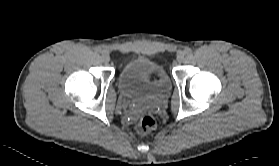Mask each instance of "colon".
Segmentation results:
<instances>
[{
  "mask_svg": "<svg viewBox=\"0 0 279 166\" xmlns=\"http://www.w3.org/2000/svg\"><path fill=\"white\" fill-rule=\"evenodd\" d=\"M155 127L156 120L152 115L142 116L137 123V130L142 134L152 131Z\"/></svg>",
  "mask_w": 279,
  "mask_h": 166,
  "instance_id": "1",
  "label": "colon"
}]
</instances>
